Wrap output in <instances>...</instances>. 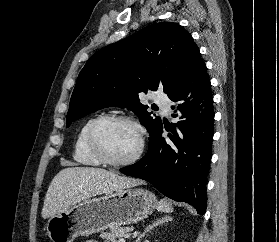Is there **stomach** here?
<instances>
[{
    "label": "stomach",
    "mask_w": 279,
    "mask_h": 242,
    "mask_svg": "<svg viewBox=\"0 0 279 242\" xmlns=\"http://www.w3.org/2000/svg\"><path fill=\"white\" fill-rule=\"evenodd\" d=\"M156 196L142 188H125L82 200L49 218L46 232L52 242H73L78 236L138 223L157 206Z\"/></svg>",
    "instance_id": "0dacf381"
}]
</instances>
